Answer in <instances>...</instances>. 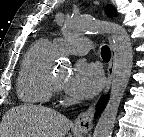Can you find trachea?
Returning <instances> with one entry per match:
<instances>
[{
  "instance_id": "1",
  "label": "trachea",
  "mask_w": 144,
  "mask_h": 137,
  "mask_svg": "<svg viewBox=\"0 0 144 137\" xmlns=\"http://www.w3.org/2000/svg\"><path fill=\"white\" fill-rule=\"evenodd\" d=\"M101 56L104 60L110 59V49L108 46H103L101 49Z\"/></svg>"
}]
</instances>
